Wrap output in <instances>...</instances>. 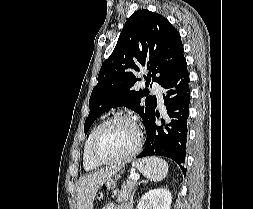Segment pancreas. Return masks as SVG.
I'll return each mask as SVG.
<instances>
[{"label":"pancreas","instance_id":"obj_1","mask_svg":"<svg viewBox=\"0 0 253 209\" xmlns=\"http://www.w3.org/2000/svg\"><path fill=\"white\" fill-rule=\"evenodd\" d=\"M135 190H136V182L127 180L123 184L121 190L114 194V196H116V201L121 203L131 199Z\"/></svg>","mask_w":253,"mask_h":209}]
</instances>
